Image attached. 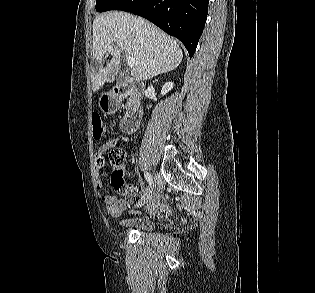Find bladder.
Masks as SVG:
<instances>
[{"label": "bladder", "instance_id": "obj_1", "mask_svg": "<svg viewBox=\"0 0 315 293\" xmlns=\"http://www.w3.org/2000/svg\"><path fill=\"white\" fill-rule=\"evenodd\" d=\"M121 227L126 229H132L136 231H151L154 228V223L147 218H134L130 220H124L120 223Z\"/></svg>", "mask_w": 315, "mask_h": 293}]
</instances>
